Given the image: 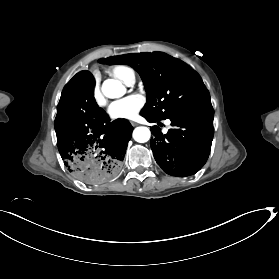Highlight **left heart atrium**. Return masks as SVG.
<instances>
[{
  "label": "left heart atrium",
  "mask_w": 279,
  "mask_h": 279,
  "mask_svg": "<svg viewBox=\"0 0 279 279\" xmlns=\"http://www.w3.org/2000/svg\"><path fill=\"white\" fill-rule=\"evenodd\" d=\"M143 105L144 100L141 96L130 95L113 102L108 108V114L114 120L134 119Z\"/></svg>",
  "instance_id": "obj_1"
}]
</instances>
